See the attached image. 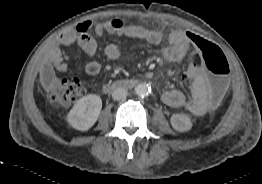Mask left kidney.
Returning <instances> with one entry per match:
<instances>
[{
  "label": "left kidney",
  "instance_id": "obj_1",
  "mask_svg": "<svg viewBox=\"0 0 262 184\" xmlns=\"http://www.w3.org/2000/svg\"><path fill=\"white\" fill-rule=\"evenodd\" d=\"M170 122L172 127L178 132L189 131L192 128L190 116L184 113L173 114Z\"/></svg>",
  "mask_w": 262,
  "mask_h": 184
}]
</instances>
